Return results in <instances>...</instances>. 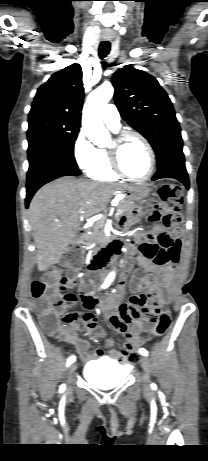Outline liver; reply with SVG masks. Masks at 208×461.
I'll list each match as a JSON object with an SVG mask.
<instances>
[{
	"instance_id": "liver-1",
	"label": "liver",
	"mask_w": 208,
	"mask_h": 461,
	"mask_svg": "<svg viewBox=\"0 0 208 461\" xmlns=\"http://www.w3.org/2000/svg\"><path fill=\"white\" fill-rule=\"evenodd\" d=\"M123 188L127 187L73 177L40 188L29 206L38 270L59 263L80 229V214L89 217L104 211Z\"/></svg>"
}]
</instances>
